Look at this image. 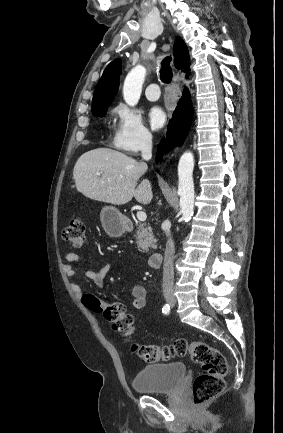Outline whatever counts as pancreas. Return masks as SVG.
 I'll list each match as a JSON object with an SVG mask.
<instances>
[{"mask_svg": "<svg viewBox=\"0 0 283 433\" xmlns=\"http://www.w3.org/2000/svg\"><path fill=\"white\" fill-rule=\"evenodd\" d=\"M139 231H137V235H134L137 239L139 249H143V251H149V247H152L155 243L154 235L152 233L151 227H145V225H139Z\"/></svg>", "mask_w": 283, "mask_h": 433, "instance_id": "cf45deb5", "label": "pancreas"}]
</instances>
